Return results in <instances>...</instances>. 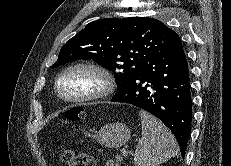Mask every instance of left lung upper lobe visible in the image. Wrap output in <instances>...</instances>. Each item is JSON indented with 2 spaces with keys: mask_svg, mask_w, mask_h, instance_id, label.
Instances as JSON below:
<instances>
[{
  "mask_svg": "<svg viewBox=\"0 0 231 166\" xmlns=\"http://www.w3.org/2000/svg\"><path fill=\"white\" fill-rule=\"evenodd\" d=\"M175 31L147 17L93 21L68 40L52 67L91 59L112 71L118 91L172 39Z\"/></svg>",
  "mask_w": 231,
  "mask_h": 166,
  "instance_id": "left-lung-upper-lobe-1",
  "label": "left lung upper lobe"
}]
</instances>
